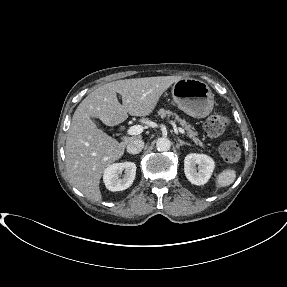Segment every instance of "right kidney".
Listing matches in <instances>:
<instances>
[{
  "label": "right kidney",
  "mask_w": 287,
  "mask_h": 287,
  "mask_svg": "<svg viewBox=\"0 0 287 287\" xmlns=\"http://www.w3.org/2000/svg\"><path fill=\"white\" fill-rule=\"evenodd\" d=\"M136 164L133 162H122L110 165L104 171L103 181L110 191H122L129 188L136 175ZM124 171L122 178L121 174Z\"/></svg>",
  "instance_id": "obj_1"
}]
</instances>
